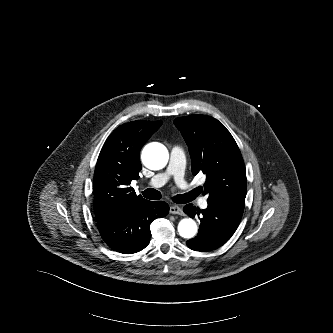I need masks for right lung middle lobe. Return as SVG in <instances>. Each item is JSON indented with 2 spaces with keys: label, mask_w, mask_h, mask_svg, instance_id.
<instances>
[{
  "label": "right lung middle lobe",
  "mask_w": 333,
  "mask_h": 333,
  "mask_svg": "<svg viewBox=\"0 0 333 333\" xmlns=\"http://www.w3.org/2000/svg\"><path fill=\"white\" fill-rule=\"evenodd\" d=\"M124 209H125V207L123 205H120V204L94 206L95 214L96 213L104 214V215H106V217L111 216V215L116 214V213H119Z\"/></svg>",
  "instance_id": "right-lung-middle-lobe-1"
}]
</instances>
